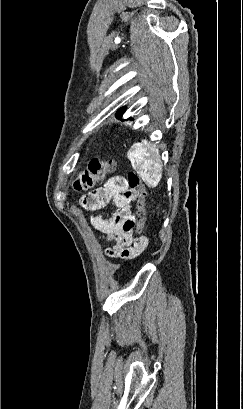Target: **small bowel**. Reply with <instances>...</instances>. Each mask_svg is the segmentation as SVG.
I'll list each match as a JSON object with an SVG mask.
<instances>
[{
	"instance_id": "obj_1",
	"label": "small bowel",
	"mask_w": 243,
	"mask_h": 409,
	"mask_svg": "<svg viewBox=\"0 0 243 409\" xmlns=\"http://www.w3.org/2000/svg\"><path fill=\"white\" fill-rule=\"evenodd\" d=\"M137 199L135 190L128 187L124 178L115 177L106 184L82 198L85 207L96 210L109 202H114L117 209L110 218L101 216L91 217L92 226L101 232L106 241H114L112 247L106 249L108 256L123 260L137 258L148 245L145 236L134 237L135 216L132 211V202Z\"/></svg>"
}]
</instances>
